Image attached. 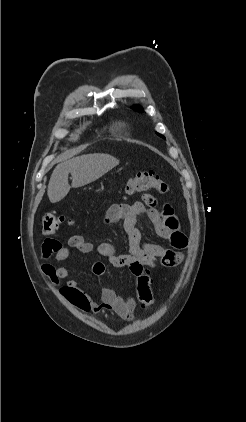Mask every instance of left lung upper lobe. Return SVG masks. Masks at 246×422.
<instances>
[{"mask_svg": "<svg viewBox=\"0 0 246 422\" xmlns=\"http://www.w3.org/2000/svg\"><path fill=\"white\" fill-rule=\"evenodd\" d=\"M133 109H135V110H137V111H140V112H142V111H143L142 107H140V106H138V105L133 106ZM158 135H159L160 137H163V138H164V136H163V135H161V134H159V133H158Z\"/></svg>", "mask_w": 246, "mask_h": 422, "instance_id": "5c2ea615", "label": "left lung upper lobe"}]
</instances>
